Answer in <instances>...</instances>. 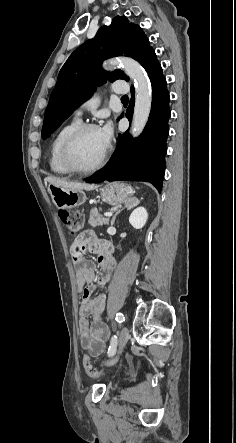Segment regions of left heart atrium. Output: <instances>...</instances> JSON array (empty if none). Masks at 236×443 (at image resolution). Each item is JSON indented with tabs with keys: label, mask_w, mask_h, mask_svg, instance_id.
<instances>
[{
	"label": "left heart atrium",
	"mask_w": 236,
	"mask_h": 443,
	"mask_svg": "<svg viewBox=\"0 0 236 443\" xmlns=\"http://www.w3.org/2000/svg\"><path fill=\"white\" fill-rule=\"evenodd\" d=\"M99 130H100V133H101V136L103 138L105 145L108 146L110 144L112 134H113L111 124L108 122L104 126L99 128Z\"/></svg>",
	"instance_id": "obj_1"
}]
</instances>
